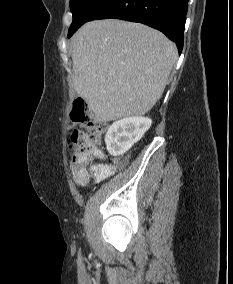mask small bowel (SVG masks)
<instances>
[{
    "instance_id": "obj_1",
    "label": "small bowel",
    "mask_w": 233,
    "mask_h": 284,
    "mask_svg": "<svg viewBox=\"0 0 233 284\" xmlns=\"http://www.w3.org/2000/svg\"><path fill=\"white\" fill-rule=\"evenodd\" d=\"M126 163V158H117L111 163L93 164L89 168H86L85 176L78 182V185H86L90 179H94L97 182L103 181L114 175L118 169L123 168Z\"/></svg>"
}]
</instances>
